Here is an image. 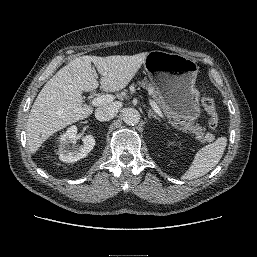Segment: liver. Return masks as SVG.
Segmentation results:
<instances>
[{"label":"liver","instance_id":"6515ba94","mask_svg":"<svg viewBox=\"0 0 257 257\" xmlns=\"http://www.w3.org/2000/svg\"><path fill=\"white\" fill-rule=\"evenodd\" d=\"M147 55L143 52L132 56H81L60 69L44 85L29 113L27 145L30 152L36 153L51 135L92 114V108L83 104L82 99L83 92L99 86L91 63L101 75V88L118 92L130 83Z\"/></svg>","mask_w":257,"mask_h":257}]
</instances>
